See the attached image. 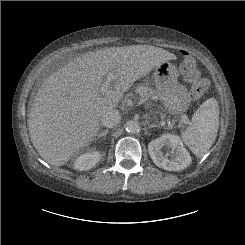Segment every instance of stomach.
Masks as SVG:
<instances>
[{"mask_svg":"<svg viewBox=\"0 0 245 245\" xmlns=\"http://www.w3.org/2000/svg\"><path fill=\"white\" fill-rule=\"evenodd\" d=\"M178 77L177 68L168 61L156 66L153 74L157 95L170 115L185 112L191 103L188 90Z\"/></svg>","mask_w":245,"mask_h":245,"instance_id":"stomach-1","label":"stomach"}]
</instances>
